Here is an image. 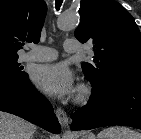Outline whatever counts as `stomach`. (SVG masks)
<instances>
[{"label": "stomach", "mask_w": 141, "mask_h": 139, "mask_svg": "<svg viewBox=\"0 0 141 139\" xmlns=\"http://www.w3.org/2000/svg\"><path fill=\"white\" fill-rule=\"evenodd\" d=\"M81 139H95V135L91 132L83 133Z\"/></svg>", "instance_id": "stomach-1"}]
</instances>
